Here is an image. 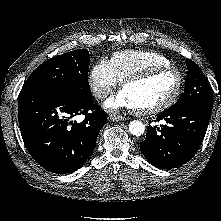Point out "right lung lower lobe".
Returning <instances> with one entry per match:
<instances>
[{"instance_id":"obj_1","label":"right lung lower lobe","mask_w":221,"mask_h":221,"mask_svg":"<svg viewBox=\"0 0 221 221\" xmlns=\"http://www.w3.org/2000/svg\"><path fill=\"white\" fill-rule=\"evenodd\" d=\"M91 99L70 92L38 88L21 91L18 120L24 144L33 159L53 173L79 169L95 148L107 114ZM83 114L78 123L72 117Z\"/></svg>"}]
</instances>
